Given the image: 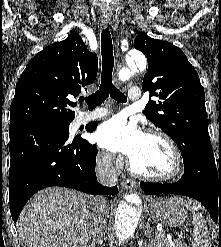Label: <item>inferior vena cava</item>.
Returning <instances> with one entry per match:
<instances>
[{
    "mask_svg": "<svg viewBox=\"0 0 221 247\" xmlns=\"http://www.w3.org/2000/svg\"><path fill=\"white\" fill-rule=\"evenodd\" d=\"M113 155L106 153L99 160L96 167V176L100 183L104 185H115L118 181L117 174L112 165ZM106 201L104 198H96L94 202V217L92 229V245L101 242L107 224Z\"/></svg>",
    "mask_w": 221,
    "mask_h": 247,
    "instance_id": "602c4592",
    "label": "inferior vena cava"
}]
</instances>
